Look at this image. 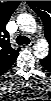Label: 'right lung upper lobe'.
Segmentation results:
<instances>
[{"label":"right lung upper lobe","mask_w":51,"mask_h":101,"mask_svg":"<svg viewBox=\"0 0 51 101\" xmlns=\"http://www.w3.org/2000/svg\"><path fill=\"white\" fill-rule=\"evenodd\" d=\"M19 4V1L0 3V75L10 69L19 54V48L11 47L9 33L6 30V24Z\"/></svg>","instance_id":"right-lung-upper-lobe-1"}]
</instances>
